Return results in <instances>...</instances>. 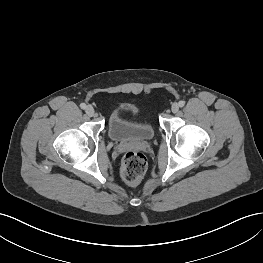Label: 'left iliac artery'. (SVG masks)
<instances>
[{"label": "left iliac artery", "instance_id": "44dca946", "mask_svg": "<svg viewBox=\"0 0 263 263\" xmlns=\"http://www.w3.org/2000/svg\"><path fill=\"white\" fill-rule=\"evenodd\" d=\"M178 104H179L180 107H183V106L185 105V101H182V100H181V101H179Z\"/></svg>", "mask_w": 263, "mask_h": 263}]
</instances>
